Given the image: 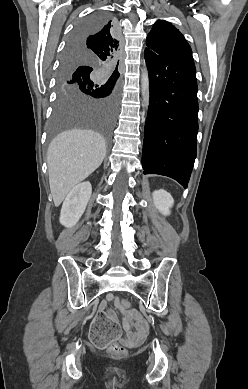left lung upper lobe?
<instances>
[{"instance_id":"1","label":"left lung upper lobe","mask_w":248,"mask_h":389,"mask_svg":"<svg viewBox=\"0 0 248 389\" xmlns=\"http://www.w3.org/2000/svg\"><path fill=\"white\" fill-rule=\"evenodd\" d=\"M147 48L159 55L192 53L184 36L171 23L158 20L146 40Z\"/></svg>"}]
</instances>
